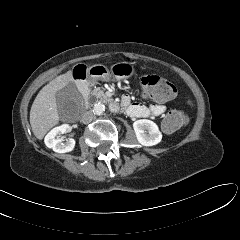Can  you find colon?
Instances as JSON below:
<instances>
[{
  "mask_svg": "<svg viewBox=\"0 0 240 240\" xmlns=\"http://www.w3.org/2000/svg\"><path fill=\"white\" fill-rule=\"evenodd\" d=\"M143 95L157 102H167L175 97V86L158 75H145L140 80ZM186 116L179 110H171L164 117L162 129L167 133L178 130L186 123Z\"/></svg>",
  "mask_w": 240,
  "mask_h": 240,
  "instance_id": "colon-1",
  "label": "colon"
}]
</instances>
